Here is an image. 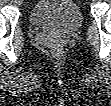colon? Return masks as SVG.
Segmentation results:
<instances>
[{"instance_id": "colon-1", "label": "colon", "mask_w": 111, "mask_h": 106, "mask_svg": "<svg viewBox=\"0 0 111 106\" xmlns=\"http://www.w3.org/2000/svg\"><path fill=\"white\" fill-rule=\"evenodd\" d=\"M59 53H60V52H59V51H57L55 55H56V56H58V55H59Z\"/></svg>"}]
</instances>
